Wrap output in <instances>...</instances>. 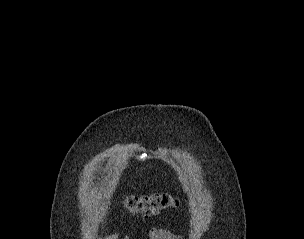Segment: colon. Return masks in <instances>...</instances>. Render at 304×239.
<instances>
[{
    "mask_svg": "<svg viewBox=\"0 0 304 239\" xmlns=\"http://www.w3.org/2000/svg\"><path fill=\"white\" fill-rule=\"evenodd\" d=\"M123 205L132 214L148 217L177 206L178 201L172 194L152 192L127 197L124 199Z\"/></svg>",
    "mask_w": 304,
    "mask_h": 239,
    "instance_id": "obj_1",
    "label": "colon"
}]
</instances>
